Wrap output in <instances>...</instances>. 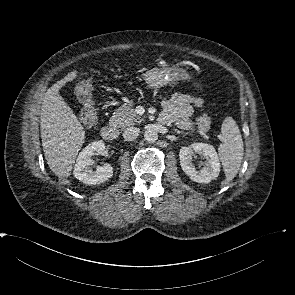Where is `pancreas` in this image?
Returning <instances> with one entry per match:
<instances>
[{"label": "pancreas", "instance_id": "obj_1", "mask_svg": "<svg viewBox=\"0 0 295 295\" xmlns=\"http://www.w3.org/2000/svg\"><path fill=\"white\" fill-rule=\"evenodd\" d=\"M142 121L143 119L138 114H136L131 105H125L114 112L110 123L115 127L123 129L128 126L141 123ZM210 123V118L205 113L196 118V124L198 125L199 130L202 132L209 130Z\"/></svg>", "mask_w": 295, "mask_h": 295}]
</instances>
